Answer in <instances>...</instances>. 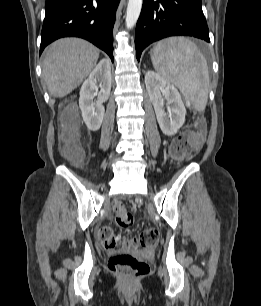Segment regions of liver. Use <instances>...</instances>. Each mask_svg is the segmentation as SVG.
Masks as SVG:
<instances>
[{
    "label": "liver",
    "mask_w": 261,
    "mask_h": 306,
    "mask_svg": "<svg viewBox=\"0 0 261 306\" xmlns=\"http://www.w3.org/2000/svg\"><path fill=\"white\" fill-rule=\"evenodd\" d=\"M99 58V50L78 38L52 43L44 54L43 76L50 95L64 97L90 74Z\"/></svg>",
    "instance_id": "obj_1"
}]
</instances>
